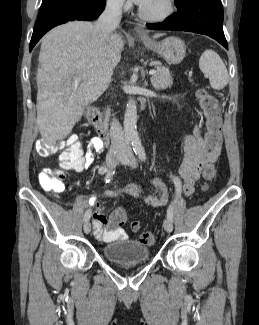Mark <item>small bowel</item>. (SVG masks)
Here are the masks:
<instances>
[{"label":"small bowel","instance_id":"obj_1","mask_svg":"<svg viewBox=\"0 0 259 325\" xmlns=\"http://www.w3.org/2000/svg\"><path fill=\"white\" fill-rule=\"evenodd\" d=\"M183 147L184 155L177 170V177L179 180L181 179L183 181V185L181 186L183 193L186 196H190L194 193L195 184L200 178L202 172L204 173V170L207 167L213 166L217 160L220 154V145L215 149L209 148L201 136L199 126L196 125L193 131L185 136ZM103 148L104 143L101 139L99 137H92L88 142L86 151H83L81 158L68 169L75 172H81L84 168L93 163L94 152H101ZM149 183L159 187L162 190V194L160 197L148 196L146 198L148 204L153 207L165 205L168 201V188L166 183L160 178L150 179ZM123 192L134 197H139L141 195V188L137 183H130L124 188ZM105 195L112 198L118 196L116 192L111 190H107ZM89 204L95 206L93 214V229L94 235L97 239L108 242L115 239L124 240L128 238L127 232L122 227H105L108 219L104 214L103 207L96 205L94 198L90 199Z\"/></svg>","mask_w":259,"mask_h":325}]
</instances>
